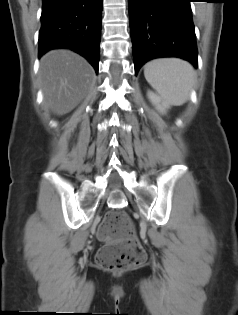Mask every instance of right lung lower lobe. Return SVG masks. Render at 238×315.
Instances as JSON below:
<instances>
[{
  "mask_svg": "<svg viewBox=\"0 0 238 315\" xmlns=\"http://www.w3.org/2000/svg\"><path fill=\"white\" fill-rule=\"evenodd\" d=\"M102 0H42L39 57L71 49L99 69Z\"/></svg>",
  "mask_w": 238,
  "mask_h": 315,
  "instance_id": "right-lung-lower-lobe-1",
  "label": "right lung lower lobe"
}]
</instances>
